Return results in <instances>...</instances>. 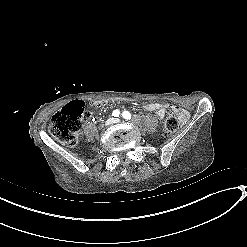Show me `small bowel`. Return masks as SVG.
Masks as SVG:
<instances>
[{"label": "small bowel", "mask_w": 247, "mask_h": 247, "mask_svg": "<svg viewBox=\"0 0 247 247\" xmlns=\"http://www.w3.org/2000/svg\"><path fill=\"white\" fill-rule=\"evenodd\" d=\"M111 103L112 101H107L104 105ZM143 109L148 112H154L160 120H163L167 112L168 106L164 103L153 102L145 104L143 106ZM173 110L177 113L180 122H184L187 119L188 113L186 112V110L180 107H174Z\"/></svg>", "instance_id": "obj_1"}]
</instances>
